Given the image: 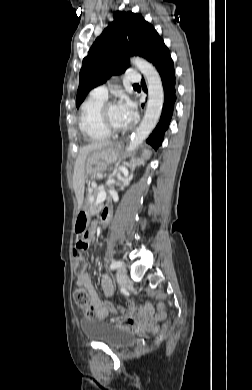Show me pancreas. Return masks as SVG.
I'll list each match as a JSON object with an SVG mask.
<instances>
[{
    "instance_id": "pancreas-1",
    "label": "pancreas",
    "mask_w": 252,
    "mask_h": 390,
    "mask_svg": "<svg viewBox=\"0 0 252 390\" xmlns=\"http://www.w3.org/2000/svg\"><path fill=\"white\" fill-rule=\"evenodd\" d=\"M89 192V191H88ZM88 203L90 205V213L92 217H96L100 211L101 205L96 204V202L92 201V197L88 195Z\"/></svg>"
}]
</instances>
